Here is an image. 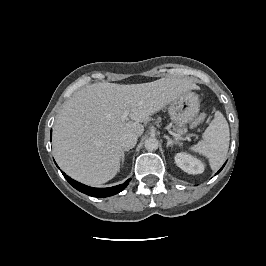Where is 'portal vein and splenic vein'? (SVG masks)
Masks as SVG:
<instances>
[{"instance_id": "obj_1", "label": "portal vein and splenic vein", "mask_w": 266, "mask_h": 266, "mask_svg": "<svg viewBox=\"0 0 266 266\" xmlns=\"http://www.w3.org/2000/svg\"><path fill=\"white\" fill-rule=\"evenodd\" d=\"M128 115H129V111H125V112L122 114L121 119H122L123 121H125V120L128 118ZM174 135L177 136V134H174Z\"/></svg>"}]
</instances>
